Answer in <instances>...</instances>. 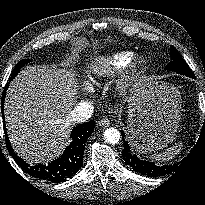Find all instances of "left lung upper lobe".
I'll use <instances>...</instances> for the list:
<instances>
[{
    "label": "left lung upper lobe",
    "instance_id": "left-lung-upper-lobe-1",
    "mask_svg": "<svg viewBox=\"0 0 205 205\" xmlns=\"http://www.w3.org/2000/svg\"><path fill=\"white\" fill-rule=\"evenodd\" d=\"M171 58L172 62L166 67L167 70L174 71L189 77L194 76L188 64L173 46H171Z\"/></svg>",
    "mask_w": 205,
    "mask_h": 205
}]
</instances>
